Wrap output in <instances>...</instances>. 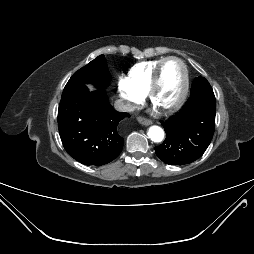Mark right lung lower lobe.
Instances as JSON below:
<instances>
[{
    "label": "right lung lower lobe",
    "mask_w": 254,
    "mask_h": 254,
    "mask_svg": "<svg viewBox=\"0 0 254 254\" xmlns=\"http://www.w3.org/2000/svg\"><path fill=\"white\" fill-rule=\"evenodd\" d=\"M129 116L112 108L104 89L89 92L85 84L65 87L58 109L63 146L84 165L107 164L123 148L119 125Z\"/></svg>",
    "instance_id": "right-lung-lower-lobe-1"
}]
</instances>
